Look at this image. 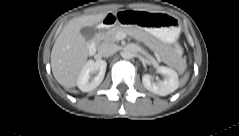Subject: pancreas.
<instances>
[{"label": "pancreas", "mask_w": 239, "mask_h": 136, "mask_svg": "<svg viewBox=\"0 0 239 136\" xmlns=\"http://www.w3.org/2000/svg\"><path fill=\"white\" fill-rule=\"evenodd\" d=\"M118 33H125V34H131L132 36L143 40L152 50H156L158 52H161L160 46L155 44L152 39L144 32H142L138 28H123L119 25H116L109 30H107L104 33H101L99 35V39L103 42H117L119 39L117 38ZM167 64H170L168 60H165Z\"/></svg>", "instance_id": "1"}]
</instances>
